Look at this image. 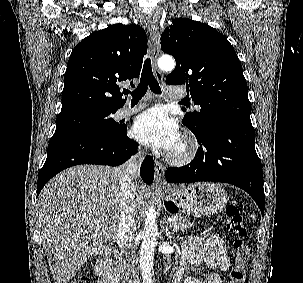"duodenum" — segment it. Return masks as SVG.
<instances>
[{"instance_id": "1", "label": "duodenum", "mask_w": 303, "mask_h": 283, "mask_svg": "<svg viewBox=\"0 0 303 283\" xmlns=\"http://www.w3.org/2000/svg\"><path fill=\"white\" fill-rule=\"evenodd\" d=\"M98 267L107 274L109 283H125L124 269L117 251H107Z\"/></svg>"}]
</instances>
